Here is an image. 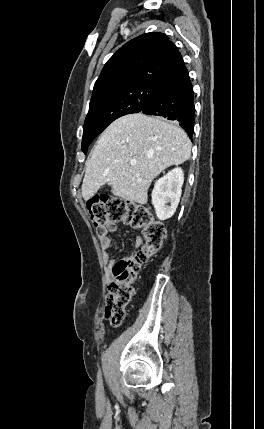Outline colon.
<instances>
[{
	"instance_id": "obj_1",
	"label": "colon",
	"mask_w": 264,
	"mask_h": 429,
	"mask_svg": "<svg viewBox=\"0 0 264 429\" xmlns=\"http://www.w3.org/2000/svg\"><path fill=\"white\" fill-rule=\"evenodd\" d=\"M87 208L97 233H102L109 222L123 221L141 229L145 239L140 250L112 266L113 280L106 295L105 319L113 326H120L125 318V309L131 301L137 275L142 265L161 247L166 231L164 225L156 221L148 209L120 198L97 196L88 202Z\"/></svg>"
}]
</instances>
